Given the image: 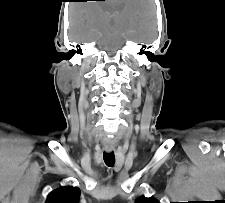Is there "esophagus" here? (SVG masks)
<instances>
[{
  "label": "esophagus",
  "mask_w": 225,
  "mask_h": 203,
  "mask_svg": "<svg viewBox=\"0 0 225 203\" xmlns=\"http://www.w3.org/2000/svg\"><path fill=\"white\" fill-rule=\"evenodd\" d=\"M111 150H112L111 148H107V149H106L107 152H110Z\"/></svg>",
  "instance_id": "obj_1"
}]
</instances>
